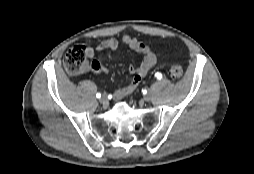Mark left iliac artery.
<instances>
[{"mask_svg": "<svg viewBox=\"0 0 254 174\" xmlns=\"http://www.w3.org/2000/svg\"><path fill=\"white\" fill-rule=\"evenodd\" d=\"M155 77H156L157 79H161V78H162V74L159 73V72H157V73L155 74Z\"/></svg>", "mask_w": 254, "mask_h": 174, "instance_id": "1", "label": "left iliac artery"}]
</instances>
